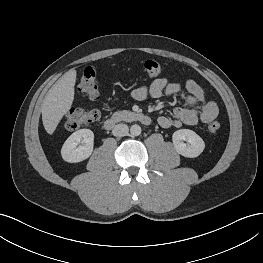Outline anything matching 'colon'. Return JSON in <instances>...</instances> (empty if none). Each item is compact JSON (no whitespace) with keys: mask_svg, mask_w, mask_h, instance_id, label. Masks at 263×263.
I'll list each match as a JSON object with an SVG mask.
<instances>
[{"mask_svg":"<svg viewBox=\"0 0 263 263\" xmlns=\"http://www.w3.org/2000/svg\"><path fill=\"white\" fill-rule=\"evenodd\" d=\"M141 70L148 78H155L163 73V66L155 60H146L141 65ZM97 70L93 66L86 67L79 80L80 92L92 101L100 97L99 89L96 82ZM100 117L98 110L86 108L71 109L64 120V126L68 130H76L80 127L87 126L96 122ZM220 129V123L211 122L208 125L210 133H216Z\"/></svg>","mask_w":263,"mask_h":263,"instance_id":"5ec220e1","label":"colon"}]
</instances>
